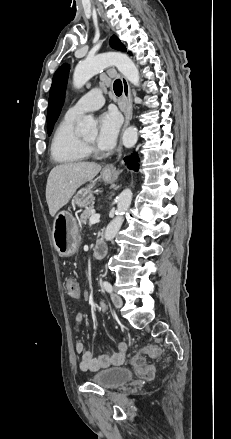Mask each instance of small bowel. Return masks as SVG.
<instances>
[{
	"mask_svg": "<svg viewBox=\"0 0 231 439\" xmlns=\"http://www.w3.org/2000/svg\"><path fill=\"white\" fill-rule=\"evenodd\" d=\"M82 298V293L80 298H74L79 301ZM107 305L105 302L101 301L98 304V311L101 313L106 312ZM75 326H80L83 320V313L79 306L75 308ZM75 352L81 356L79 366L81 370L96 372L111 366H119L124 363L125 354L127 350L126 343L120 341L117 343V352L109 353L107 351L102 352L99 356L94 357L93 354L85 350V346L81 340L75 342Z\"/></svg>",
	"mask_w": 231,
	"mask_h": 439,
	"instance_id": "small-bowel-1",
	"label": "small bowel"
}]
</instances>
